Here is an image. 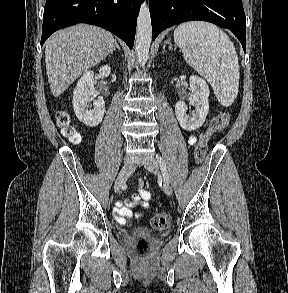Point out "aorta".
Segmentation results:
<instances>
[{
	"label": "aorta",
	"mask_w": 288,
	"mask_h": 293,
	"mask_svg": "<svg viewBox=\"0 0 288 293\" xmlns=\"http://www.w3.org/2000/svg\"><path fill=\"white\" fill-rule=\"evenodd\" d=\"M152 40L151 18L147 2H143L137 18L135 50L137 60L145 66L149 59V48Z\"/></svg>",
	"instance_id": "aorta-1"
}]
</instances>
